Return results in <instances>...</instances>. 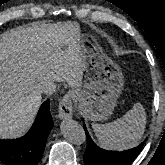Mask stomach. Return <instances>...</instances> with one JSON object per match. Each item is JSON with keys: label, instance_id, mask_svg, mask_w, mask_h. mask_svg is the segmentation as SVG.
Returning <instances> with one entry per match:
<instances>
[{"label": "stomach", "instance_id": "1", "mask_svg": "<svg viewBox=\"0 0 165 165\" xmlns=\"http://www.w3.org/2000/svg\"><path fill=\"white\" fill-rule=\"evenodd\" d=\"M84 59L85 76L75 88L79 107L92 121L108 118L116 105L124 79L120 67L99 47L91 33L79 35Z\"/></svg>", "mask_w": 165, "mask_h": 165}]
</instances>
